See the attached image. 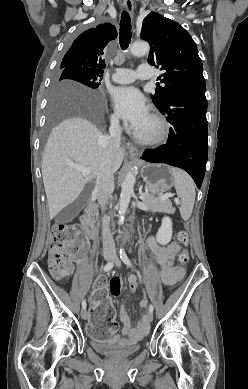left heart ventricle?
Returning <instances> with one entry per match:
<instances>
[{"instance_id": "obj_1", "label": "left heart ventricle", "mask_w": 248, "mask_h": 389, "mask_svg": "<svg viewBox=\"0 0 248 389\" xmlns=\"http://www.w3.org/2000/svg\"><path fill=\"white\" fill-rule=\"evenodd\" d=\"M137 132L146 136L153 135L156 132V125L148 116L143 125L137 129Z\"/></svg>"}]
</instances>
